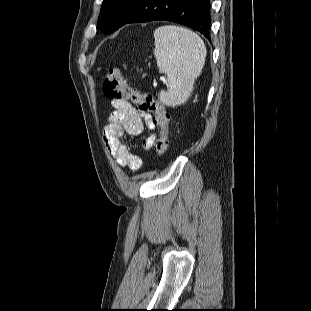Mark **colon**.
<instances>
[{
	"instance_id": "5ec220e1",
	"label": "colon",
	"mask_w": 311,
	"mask_h": 311,
	"mask_svg": "<svg viewBox=\"0 0 311 311\" xmlns=\"http://www.w3.org/2000/svg\"><path fill=\"white\" fill-rule=\"evenodd\" d=\"M103 92L111 100L128 101L136 104L141 112L152 113L153 120L160 128V134L155 138L152 148L156 155H163L169 146V112L151 95L141 93L128 86L120 69L110 66L105 76Z\"/></svg>"
}]
</instances>
